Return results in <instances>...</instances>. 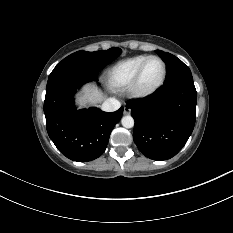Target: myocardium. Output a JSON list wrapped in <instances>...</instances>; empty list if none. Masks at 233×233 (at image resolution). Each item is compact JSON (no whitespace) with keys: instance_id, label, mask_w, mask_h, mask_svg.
<instances>
[{"instance_id":"1","label":"myocardium","mask_w":233,"mask_h":233,"mask_svg":"<svg viewBox=\"0 0 233 233\" xmlns=\"http://www.w3.org/2000/svg\"><path fill=\"white\" fill-rule=\"evenodd\" d=\"M151 59H157L161 62L162 66H163V72H162V76L160 81L153 87L149 88V89H143L140 86V82H141V77L142 74L144 72V69L147 65V63L151 60ZM167 77V65L166 62L157 55H150L148 56L140 65V67L138 68L130 86H129V93L133 98H137V99H142V98H147L151 95H153L154 93H156L164 84L165 80Z\"/></svg>"}]
</instances>
